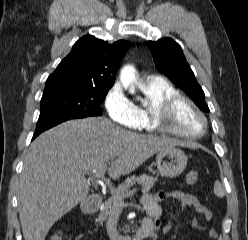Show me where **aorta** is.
Wrapping results in <instances>:
<instances>
[{"label": "aorta", "instance_id": "1", "mask_svg": "<svg viewBox=\"0 0 248 240\" xmlns=\"http://www.w3.org/2000/svg\"><path fill=\"white\" fill-rule=\"evenodd\" d=\"M120 81L125 89H129V93H135L136 69L132 65H125L120 72Z\"/></svg>", "mask_w": 248, "mask_h": 240}]
</instances>
